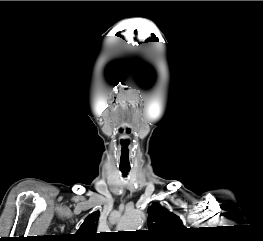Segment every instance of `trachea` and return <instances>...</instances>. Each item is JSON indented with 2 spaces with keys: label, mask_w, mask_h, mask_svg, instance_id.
Here are the masks:
<instances>
[{
  "label": "trachea",
  "mask_w": 263,
  "mask_h": 241,
  "mask_svg": "<svg viewBox=\"0 0 263 241\" xmlns=\"http://www.w3.org/2000/svg\"><path fill=\"white\" fill-rule=\"evenodd\" d=\"M122 174L126 176L129 173V168H120Z\"/></svg>",
  "instance_id": "obj_1"
}]
</instances>
